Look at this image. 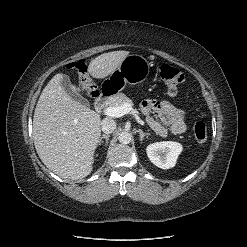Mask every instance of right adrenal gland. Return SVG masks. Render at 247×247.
Listing matches in <instances>:
<instances>
[{"label":"right adrenal gland","instance_id":"1","mask_svg":"<svg viewBox=\"0 0 247 247\" xmlns=\"http://www.w3.org/2000/svg\"><path fill=\"white\" fill-rule=\"evenodd\" d=\"M109 137H110V135H102V137H100V139H99V145H101L102 143H103V140L105 139V142H106V146H107V144H108V140H109Z\"/></svg>","mask_w":247,"mask_h":247}]
</instances>
